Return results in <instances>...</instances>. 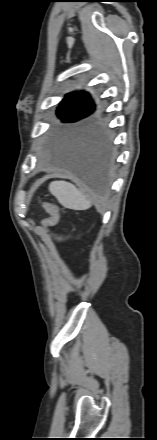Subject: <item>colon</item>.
<instances>
[{
    "label": "colon",
    "instance_id": "obj_1",
    "mask_svg": "<svg viewBox=\"0 0 157 440\" xmlns=\"http://www.w3.org/2000/svg\"><path fill=\"white\" fill-rule=\"evenodd\" d=\"M43 207L49 214L48 218L43 221L44 227L48 228L54 226L59 220L58 206L51 202H43Z\"/></svg>",
    "mask_w": 157,
    "mask_h": 440
}]
</instances>
